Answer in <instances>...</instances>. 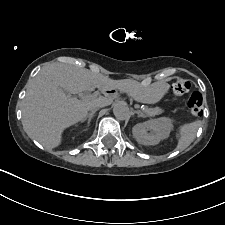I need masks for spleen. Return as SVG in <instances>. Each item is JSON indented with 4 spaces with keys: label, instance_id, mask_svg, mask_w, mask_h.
Here are the masks:
<instances>
[{
    "label": "spleen",
    "instance_id": "3e777b00",
    "mask_svg": "<svg viewBox=\"0 0 225 225\" xmlns=\"http://www.w3.org/2000/svg\"><path fill=\"white\" fill-rule=\"evenodd\" d=\"M200 124V121H194L179 128L176 134L178 140L177 149H185L193 142Z\"/></svg>",
    "mask_w": 225,
    "mask_h": 225
}]
</instances>
